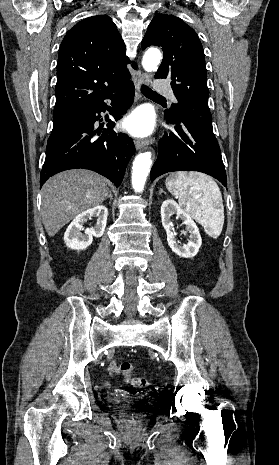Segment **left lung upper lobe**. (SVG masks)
<instances>
[{
  "mask_svg": "<svg viewBox=\"0 0 279 465\" xmlns=\"http://www.w3.org/2000/svg\"><path fill=\"white\" fill-rule=\"evenodd\" d=\"M163 49V61L156 78H170L178 100L165 111L167 120L192 119L212 130L208 107L207 70L202 44L196 32L180 18L158 14L151 21L142 48Z\"/></svg>",
  "mask_w": 279,
  "mask_h": 465,
  "instance_id": "5c2ea615",
  "label": "left lung upper lobe"
}]
</instances>
